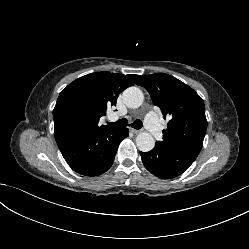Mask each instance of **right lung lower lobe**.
<instances>
[{
  "instance_id": "right-lung-lower-lobe-1",
  "label": "right lung lower lobe",
  "mask_w": 249,
  "mask_h": 249,
  "mask_svg": "<svg viewBox=\"0 0 249 249\" xmlns=\"http://www.w3.org/2000/svg\"><path fill=\"white\" fill-rule=\"evenodd\" d=\"M128 132L126 128H114L96 134L64 133L55 139L74 171L85 176H98L112 166L118 146Z\"/></svg>"
}]
</instances>
